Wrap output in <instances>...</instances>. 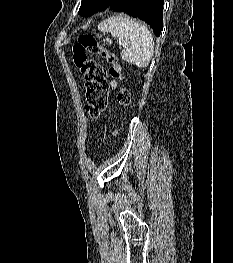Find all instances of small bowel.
<instances>
[{
  "label": "small bowel",
  "instance_id": "c3829d8e",
  "mask_svg": "<svg viewBox=\"0 0 233 263\" xmlns=\"http://www.w3.org/2000/svg\"><path fill=\"white\" fill-rule=\"evenodd\" d=\"M110 86L111 88L115 89L116 88V82L115 81H111L110 82ZM115 134V132H113V135Z\"/></svg>",
  "mask_w": 233,
  "mask_h": 263
}]
</instances>
